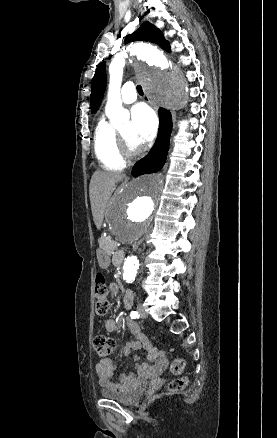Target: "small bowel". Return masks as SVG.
<instances>
[{
    "label": "small bowel",
    "mask_w": 277,
    "mask_h": 438,
    "mask_svg": "<svg viewBox=\"0 0 277 438\" xmlns=\"http://www.w3.org/2000/svg\"><path fill=\"white\" fill-rule=\"evenodd\" d=\"M111 292L116 293L115 285L110 286ZM134 296L131 291H127L124 295L123 305L125 309L131 308L133 305ZM128 329L134 336L135 340L127 343L123 348L125 356H129L134 349L142 347L148 350L146 361L137 365V372H128L120 375L118 381L113 380L114 371L118 368V364L110 359H102L95 366V373L98 384L106 389L114 391H128L138 384L141 375L149 373L161 372L168 366V356L165 352L154 348L145 336L140 331L138 325L132 321L127 323ZM105 329L108 332H113L116 329V321L113 318L106 320ZM139 360V357H135ZM155 361V364L152 363Z\"/></svg>",
    "instance_id": "obj_1"
}]
</instances>
